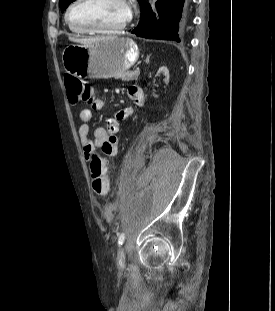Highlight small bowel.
<instances>
[{"label":"small bowel","instance_id":"c3829d8e","mask_svg":"<svg viewBox=\"0 0 275 311\" xmlns=\"http://www.w3.org/2000/svg\"><path fill=\"white\" fill-rule=\"evenodd\" d=\"M128 96L134 102H140L143 97L142 89L138 86H130L128 88ZM94 108H101L100 102L93 104ZM133 112L131 107H127L118 111L113 118H110L105 127H97L93 130V137L90 136L89 122L92 117V110L84 108L79 112V128L78 134L83 151V155L87 161H91L95 156L106 155L114 157L118 152L117 134L119 131V121L127 118ZM100 148V152H97Z\"/></svg>","mask_w":275,"mask_h":311}]
</instances>
